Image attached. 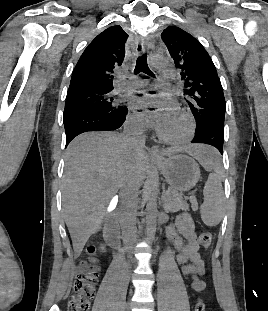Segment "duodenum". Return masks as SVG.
I'll use <instances>...</instances> for the list:
<instances>
[{"label":"duodenum","instance_id":"duodenum-1","mask_svg":"<svg viewBox=\"0 0 268 311\" xmlns=\"http://www.w3.org/2000/svg\"><path fill=\"white\" fill-rule=\"evenodd\" d=\"M106 232L113 245H118L120 241V233L115 218H110L106 223Z\"/></svg>","mask_w":268,"mask_h":311}]
</instances>
